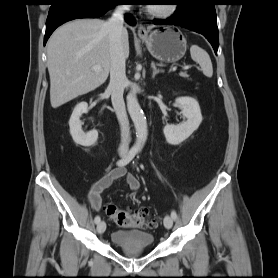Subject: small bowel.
<instances>
[{
  "label": "small bowel",
  "instance_id": "small-bowel-1",
  "mask_svg": "<svg viewBox=\"0 0 278 278\" xmlns=\"http://www.w3.org/2000/svg\"><path fill=\"white\" fill-rule=\"evenodd\" d=\"M122 178L125 179L126 184L132 191H139L141 186L139 180L134 175L128 173L124 167H116L92 185L88 193V200L94 210L99 211L102 207V192L109 188L116 180Z\"/></svg>",
  "mask_w": 278,
  "mask_h": 278
}]
</instances>
